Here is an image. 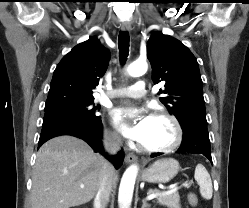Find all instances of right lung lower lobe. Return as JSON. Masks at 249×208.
Instances as JSON below:
<instances>
[{"instance_id": "98d812e1", "label": "right lung lower lobe", "mask_w": 249, "mask_h": 208, "mask_svg": "<svg viewBox=\"0 0 249 208\" xmlns=\"http://www.w3.org/2000/svg\"><path fill=\"white\" fill-rule=\"evenodd\" d=\"M71 135L86 141L95 152H102V123L101 118L90 122L74 117L45 115L43 119L42 131L38 142V148L49 139L60 136ZM103 153V152H102ZM118 169L123 163L124 153L119 152L113 157L106 156Z\"/></svg>"}]
</instances>
